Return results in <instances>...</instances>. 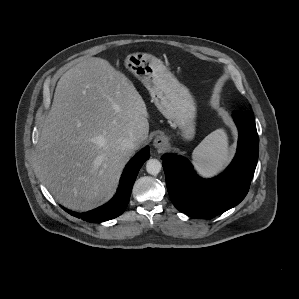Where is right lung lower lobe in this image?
Returning <instances> with one entry per match:
<instances>
[{
    "label": "right lung lower lobe",
    "instance_id": "right-lung-lower-lobe-1",
    "mask_svg": "<svg viewBox=\"0 0 299 299\" xmlns=\"http://www.w3.org/2000/svg\"><path fill=\"white\" fill-rule=\"evenodd\" d=\"M150 157L149 147L137 153L126 165L115 196L105 205L84 213H76L63 208L69 214L88 222H102L122 214L129 202L131 190L143 163Z\"/></svg>",
    "mask_w": 299,
    "mask_h": 299
}]
</instances>
